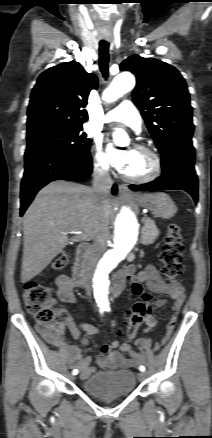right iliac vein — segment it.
<instances>
[{
	"instance_id": "right-iliac-vein-1",
	"label": "right iliac vein",
	"mask_w": 212,
	"mask_h": 438,
	"mask_svg": "<svg viewBox=\"0 0 212 438\" xmlns=\"http://www.w3.org/2000/svg\"><path fill=\"white\" fill-rule=\"evenodd\" d=\"M70 378H71V380H74V379H75V377H74V376H70Z\"/></svg>"
}]
</instances>
